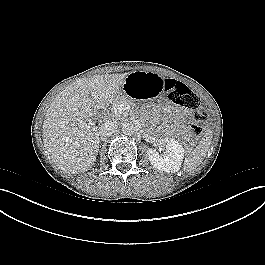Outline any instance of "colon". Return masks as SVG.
<instances>
[{
  "instance_id": "colon-1",
  "label": "colon",
  "mask_w": 265,
  "mask_h": 265,
  "mask_svg": "<svg viewBox=\"0 0 265 265\" xmlns=\"http://www.w3.org/2000/svg\"><path fill=\"white\" fill-rule=\"evenodd\" d=\"M164 90L170 103L196 110L189 119V124L193 133L200 135L207 126L208 115L206 110L201 107L199 97L184 83L174 79L164 80Z\"/></svg>"
}]
</instances>
